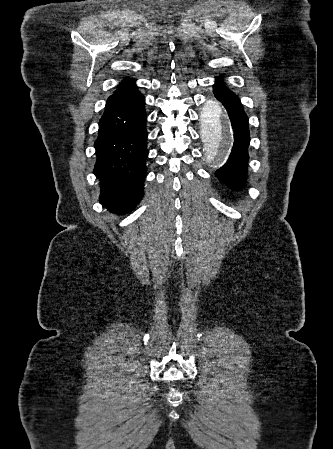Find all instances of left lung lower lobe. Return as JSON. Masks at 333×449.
<instances>
[{
  "mask_svg": "<svg viewBox=\"0 0 333 449\" xmlns=\"http://www.w3.org/2000/svg\"><path fill=\"white\" fill-rule=\"evenodd\" d=\"M217 78L213 92L215 97L226 108L233 129L234 144L230 157L216 176L231 188L242 187L247 176L248 146L250 142L248 117L246 116L239 98L228 90Z\"/></svg>",
  "mask_w": 333,
  "mask_h": 449,
  "instance_id": "1",
  "label": "left lung lower lobe"
}]
</instances>
